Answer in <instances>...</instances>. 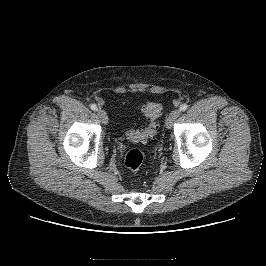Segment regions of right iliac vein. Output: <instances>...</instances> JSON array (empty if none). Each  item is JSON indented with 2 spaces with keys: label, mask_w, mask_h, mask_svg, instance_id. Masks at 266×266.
<instances>
[{
  "label": "right iliac vein",
  "mask_w": 266,
  "mask_h": 266,
  "mask_svg": "<svg viewBox=\"0 0 266 266\" xmlns=\"http://www.w3.org/2000/svg\"><path fill=\"white\" fill-rule=\"evenodd\" d=\"M97 114H98L101 122L106 125L108 123V116H107L106 112L102 109H99L97 111Z\"/></svg>",
  "instance_id": "63e3f726"
}]
</instances>
